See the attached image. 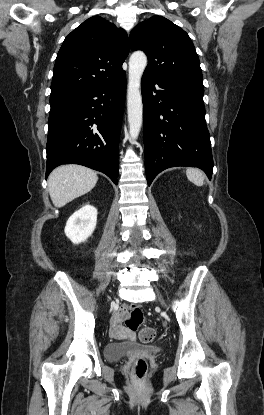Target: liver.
Returning a JSON list of instances; mask_svg holds the SVG:
<instances>
[{"label": "liver", "mask_w": 264, "mask_h": 415, "mask_svg": "<svg viewBox=\"0 0 264 415\" xmlns=\"http://www.w3.org/2000/svg\"><path fill=\"white\" fill-rule=\"evenodd\" d=\"M98 181L97 173L81 165H62L48 177V190L54 206L60 208L91 191Z\"/></svg>", "instance_id": "1"}]
</instances>
